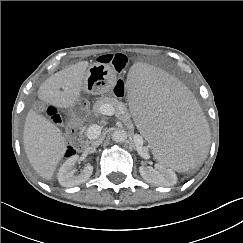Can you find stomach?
<instances>
[{
	"label": "stomach",
	"instance_id": "obj_1",
	"mask_svg": "<svg viewBox=\"0 0 243 243\" xmlns=\"http://www.w3.org/2000/svg\"><path fill=\"white\" fill-rule=\"evenodd\" d=\"M116 76L114 70L102 63L91 64L85 72L82 91L88 94L99 95L108 93L114 86ZM84 106L82 100L78 101L71 109L76 113Z\"/></svg>",
	"mask_w": 243,
	"mask_h": 243
}]
</instances>
